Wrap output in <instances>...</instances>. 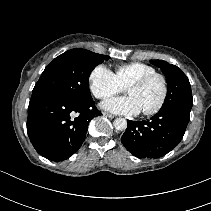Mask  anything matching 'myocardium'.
I'll use <instances>...</instances> for the list:
<instances>
[{"mask_svg": "<svg viewBox=\"0 0 211 211\" xmlns=\"http://www.w3.org/2000/svg\"><path fill=\"white\" fill-rule=\"evenodd\" d=\"M155 78H159L162 82V86H163L162 96H161L159 103L154 108L147 110V111H142V113L145 116H152V115L157 114L165 105V102L168 97V90H169L168 81H167L166 76L162 73L154 72V73L145 75V76L135 80L127 87V90L129 88H133V87H136V88L143 87L144 85H146L148 82H150L151 80H153Z\"/></svg>", "mask_w": 211, "mask_h": 211, "instance_id": "myocardium-1", "label": "myocardium"}]
</instances>
